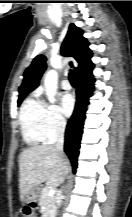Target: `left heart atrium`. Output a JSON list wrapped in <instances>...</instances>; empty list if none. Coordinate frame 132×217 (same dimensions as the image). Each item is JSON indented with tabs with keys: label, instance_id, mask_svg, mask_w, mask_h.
Returning <instances> with one entry per match:
<instances>
[{
	"label": "left heart atrium",
	"instance_id": "1",
	"mask_svg": "<svg viewBox=\"0 0 132 217\" xmlns=\"http://www.w3.org/2000/svg\"><path fill=\"white\" fill-rule=\"evenodd\" d=\"M75 107V100L71 94H64L60 100V109L63 115L70 116Z\"/></svg>",
	"mask_w": 132,
	"mask_h": 217
}]
</instances>
